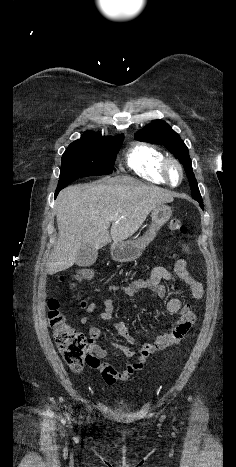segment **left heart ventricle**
Masks as SVG:
<instances>
[{
    "label": "left heart ventricle",
    "mask_w": 236,
    "mask_h": 467,
    "mask_svg": "<svg viewBox=\"0 0 236 467\" xmlns=\"http://www.w3.org/2000/svg\"><path fill=\"white\" fill-rule=\"evenodd\" d=\"M170 178H171L172 182H174V183L178 182V180L180 178L179 171L173 165L170 166Z\"/></svg>",
    "instance_id": "left-heart-ventricle-1"
}]
</instances>
